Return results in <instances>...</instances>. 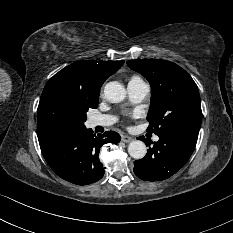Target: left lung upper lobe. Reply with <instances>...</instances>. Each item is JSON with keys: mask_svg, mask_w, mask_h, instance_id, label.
<instances>
[{"mask_svg": "<svg viewBox=\"0 0 233 233\" xmlns=\"http://www.w3.org/2000/svg\"><path fill=\"white\" fill-rule=\"evenodd\" d=\"M129 67L151 84L148 131L156 135L202 120L200 96L191 76L180 66L165 60H130Z\"/></svg>", "mask_w": 233, "mask_h": 233, "instance_id": "1", "label": "left lung upper lobe"}]
</instances>
